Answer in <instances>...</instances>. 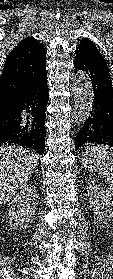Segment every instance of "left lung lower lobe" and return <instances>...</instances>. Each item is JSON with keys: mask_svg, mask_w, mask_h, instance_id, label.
<instances>
[{"mask_svg": "<svg viewBox=\"0 0 113 279\" xmlns=\"http://www.w3.org/2000/svg\"><path fill=\"white\" fill-rule=\"evenodd\" d=\"M74 66L89 75L95 96L90 116L75 138V149L89 144L113 146V85L109 71L81 54H76Z\"/></svg>", "mask_w": 113, "mask_h": 279, "instance_id": "left-lung-lower-lobe-1", "label": "left lung lower lobe"}]
</instances>
